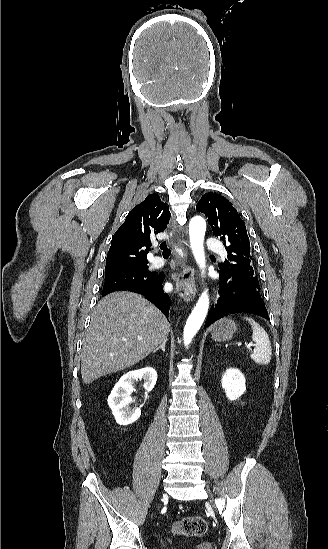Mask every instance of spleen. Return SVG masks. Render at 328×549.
<instances>
[{
  "mask_svg": "<svg viewBox=\"0 0 328 549\" xmlns=\"http://www.w3.org/2000/svg\"><path fill=\"white\" fill-rule=\"evenodd\" d=\"M244 319L249 321L253 331L252 341L256 343V347L253 349L252 355H250L251 359L255 363H258V365H268L271 361L272 349L266 331L258 323H255L253 319H248V317H244Z\"/></svg>",
  "mask_w": 328,
  "mask_h": 549,
  "instance_id": "spleen-1",
  "label": "spleen"
}]
</instances>
